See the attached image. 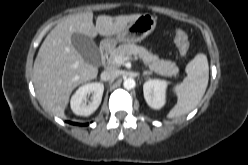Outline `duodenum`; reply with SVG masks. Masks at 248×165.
Returning <instances> with one entry per match:
<instances>
[{
    "label": "duodenum",
    "mask_w": 248,
    "mask_h": 165,
    "mask_svg": "<svg viewBox=\"0 0 248 165\" xmlns=\"http://www.w3.org/2000/svg\"><path fill=\"white\" fill-rule=\"evenodd\" d=\"M109 50H110V44L109 43H104L100 47L99 54H100L101 63L103 65L105 64Z\"/></svg>",
    "instance_id": "410a0bca"
}]
</instances>
